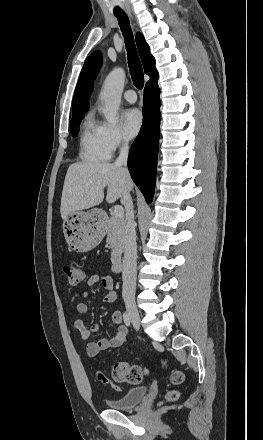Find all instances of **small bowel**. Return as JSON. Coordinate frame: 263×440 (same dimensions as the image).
Masks as SVG:
<instances>
[{
  "instance_id": "1",
  "label": "small bowel",
  "mask_w": 263,
  "mask_h": 440,
  "mask_svg": "<svg viewBox=\"0 0 263 440\" xmlns=\"http://www.w3.org/2000/svg\"><path fill=\"white\" fill-rule=\"evenodd\" d=\"M99 284L104 289V294L101 297L103 303H113L117 294L114 290L113 277L110 274H93L87 279L86 289L82 292V297L86 298L90 290ZM89 310L87 302L81 300L76 303V312L80 315L86 314ZM111 321L117 325V330L111 339L98 338L92 341L94 334L99 332V326L93 325L87 327L82 319L75 321V328L79 332L80 338L87 342L86 353L89 357H95L101 351L116 348L121 346L127 336V328L123 325V316L119 310H115L111 314Z\"/></svg>"
}]
</instances>
